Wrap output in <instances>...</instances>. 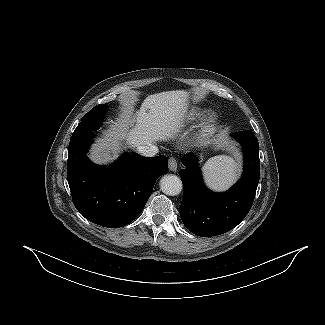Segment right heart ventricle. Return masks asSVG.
<instances>
[{
	"label": "right heart ventricle",
	"instance_id": "1",
	"mask_svg": "<svg viewBox=\"0 0 325 325\" xmlns=\"http://www.w3.org/2000/svg\"><path fill=\"white\" fill-rule=\"evenodd\" d=\"M202 113V110L200 108L194 107L188 110L183 117V120L185 122H192L194 121L199 115Z\"/></svg>",
	"mask_w": 325,
	"mask_h": 325
}]
</instances>
